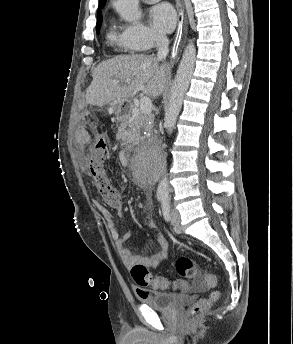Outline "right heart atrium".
<instances>
[{
	"label": "right heart atrium",
	"mask_w": 293,
	"mask_h": 344,
	"mask_svg": "<svg viewBox=\"0 0 293 344\" xmlns=\"http://www.w3.org/2000/svg\"><path fill=\"white\" fill-rule=\"evenodd\" d=\"M122 41L129 51H146L162 40V37L140 22L120 26Z\"/></svg>",
	"instance_id": "obj_1"
}]
</instances>
